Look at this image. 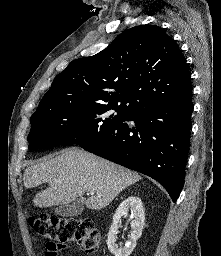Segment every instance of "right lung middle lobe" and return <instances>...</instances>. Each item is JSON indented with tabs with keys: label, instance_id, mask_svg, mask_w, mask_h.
Instances as JSON below:
<instances>
[{
	"label": "right lung middle lobe",
	"instance_id": "dd1d6c3e",
	"mask_svg": "<svg viewBox=\"0 0 221 256\" xmlns=\"http://www.w3.org/2000/svg\"><path fill=\"white\" fill-rule=\"evenodd\" d=\"M133 114L128 108L115 104H79L34 114L30 118L29 149L81 145Z\"/></svg>",
	"mask_w": 221,
	"mask_h": 256
}]
</instances>
